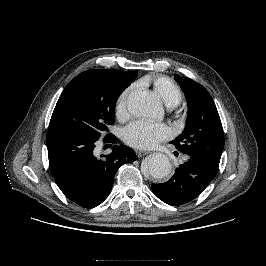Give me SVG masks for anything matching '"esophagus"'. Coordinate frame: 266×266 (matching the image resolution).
Wrapping results in <instances>:
<instances>
[{"instance_id": "obj_1", "label": "esophagus", "mask_w": 266, "mask_h": 266, "mask_svg": "<svg viewBox=\"0 0 266 266\" xmlns=\"http://www.w3.org/2000/svg\"><path fill=\"white\" fill-rule=\"evenodd\" d=\"M135 152H136V155H137L139 158H140V157H143V156H145V155L148 154L147 151L138 150V149H137Z\"/></svg>"}]
</instances>
